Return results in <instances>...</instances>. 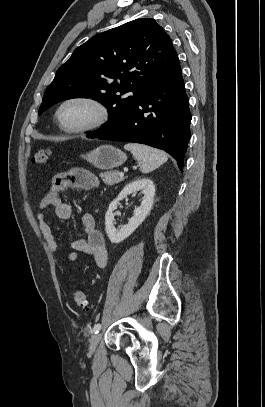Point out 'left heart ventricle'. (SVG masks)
I'll return each mask as SVG.
<instances>
[{
    "mask_svg": "<svg viewBox=\"0 0 265 407\" xmlns=\"http://www.w3.org/2000/svg\"><path fill=\"white\" fill-rule=\"evenodd\" d=\"M93 110L83 104L74 103L66 106L61 112V120L69 125H80L89 121Z\"/></svg>",
    "mask_w": 265,
    "mask_h": 407,
    "instance_id": "b2bd125f",
    "label": "left heart ventricle"
}]
</instances>
